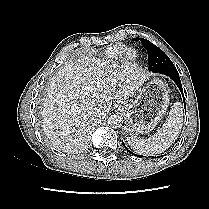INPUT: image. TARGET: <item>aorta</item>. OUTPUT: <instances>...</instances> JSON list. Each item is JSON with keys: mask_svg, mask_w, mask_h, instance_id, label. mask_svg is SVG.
Returning <instances> with one entry per match:
<instances>
[{"mask_svg": "<svg viewBox=\"0 0 209 209\" xmlns=\"http://www.w3.org/2000/svg\"><path fill=\"white\" fill-rule=\"evenodd\" d=\"M122 123H123V118L119 114H112L108 118V124L113 128L120 127Z\"/></svg>", "mask_w": 209, "mask_h": 209, "instance_id": "1", "label": "aorta"}]
</instances>
